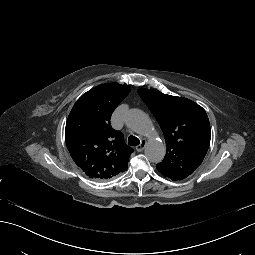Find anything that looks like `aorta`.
<instances>
[{
  "label": "aorta",
  "mask_w": 255,
  "mask_h": 255,
  "mask_svg": "<svg viewBox=\"0 0 255 255\" xmlns=\"http://www.w3.org/2000/svg\"><path fill=\"white\" fill-rule=\"evenodd\" d=\"M125 123L134 132L148 138L145 147L146 158L153 163L161 162L165 155V146L162 141L159 140L149 117L139 109H130L126 113Z\"/></svg>",
  "instance_id": "762f6f07"
}]
</instances>
